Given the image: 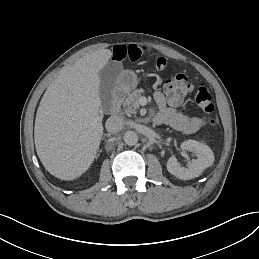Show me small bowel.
<instances>
[{"mask_svg": "<svg viewBox=\"0 0 259 259\" xmlns=\"http://www.w3.org/2000/svg\"><path fill=\"white\" fill-rule=\"evenodd\" d=\"M111 52L112 59L116 62L137 61L144 54L145 48L138 44H121L114 46ZM154 99L159 108V112L154 118L155 123L169 125L186 134L196 132L203 125L201 118L190 116L186 112L170 106L160 90L154 92Z\"/></svg>", "mask_w": 259, "mask_h": 259, "instance_id": "small-bowel-1", "label": "small bowel"}]
</instances>
